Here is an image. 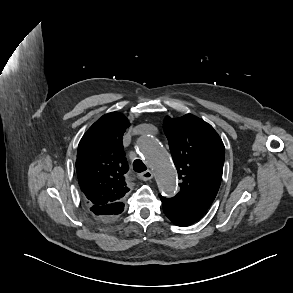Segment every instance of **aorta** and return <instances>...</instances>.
Listing matches in <instances>:
<instances>
[{"instance_id":"obj_1","label":"aorta","mask_w":293,"mask_h":293,"mask_svg":"<svg viewBox=\"0 0 293 293\" xmlns=\"http://www.w3.org/2000/svg\"><path fill=\"white\" fill-rule=\"evenodd\" d=\"M137 148L156 174L160 192L167 197L175 195L176 170L166 150L157 139L144 135L138 139Z\"/></svg>"}]
</instances>
